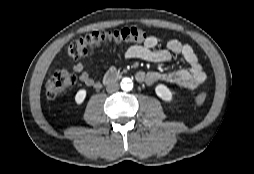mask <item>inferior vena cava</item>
<instances>
[{"mask_svg": "<svg viewBox=\"0 0 254 174\" xmlns=\"http://www.w3.org/2000/svg\"><path fill=\"white\" fill-rule=\"evenodd\" d=\"M107 92L114 93L119 90V84L117 82H111L106 87Z\"/></svg>", "mask_w": 254, "mask_h": 174, "instance_id": "1", "label": "inferior vena cava"}]
</instances>
